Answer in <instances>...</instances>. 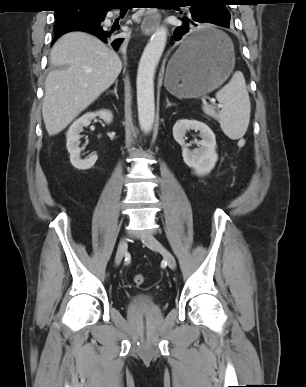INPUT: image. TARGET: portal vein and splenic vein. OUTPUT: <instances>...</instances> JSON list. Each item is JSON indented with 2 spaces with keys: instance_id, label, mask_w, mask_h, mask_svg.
Here are the masks:
<instances>
[{
  "instance_id": "1",
  "label": "portal vein and splenic vein",
  "mask_w": 306,
  "mask_h": 387,
  "mask_svg": "<svg viewBox=\"0 0 306 387\" xmlns=\"http://www.w3.org/2000/svg\"><path fill=\"white\" fill-rule=\"evenodd\" d=\"M218 108H222V105H218Z\"/></svg>"
}]
</instances>
